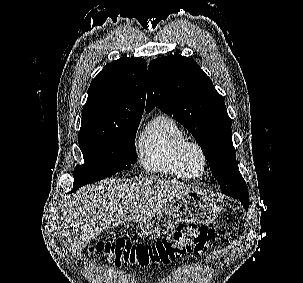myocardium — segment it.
<instances>
[{
    "label": "myocardium",
    "mask_w": 303,
    "mask_h": 283,
    "mask_svg": "<svg viewBox=\"0 0 303 283\" xmlns=\"http://www.w3.org/2000/svg\"><path fill=\"white\" fill-rule=\"evenodd\" d=\"M197 156L200 161V169L196 170L193 166L192 159ZM182 161L183 164L192 178L202 177L208 166V161L204 149L197 142L188 141L182 151Z\"/></svg>",
    "instance_id": "myocardium-1"
}]
</instances>
